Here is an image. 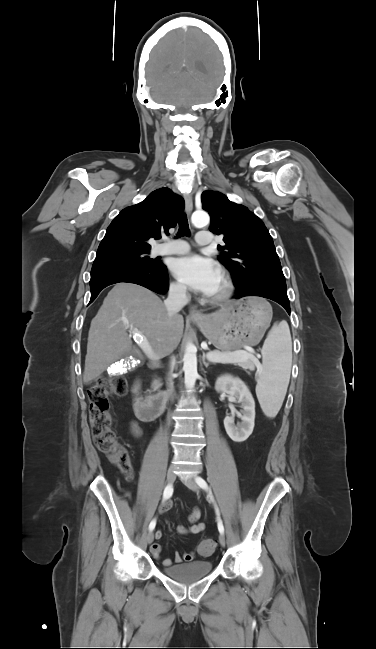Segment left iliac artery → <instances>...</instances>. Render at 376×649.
Returning a JSON list of instances; mask_svg holds the SVG:
<instances>
[{
    "mask_svg": "<svg viewBox=\"0 0 376 649\" xmlns=\"http://www.w3.org/2000/svg\"><path fill=\"white\" fill-rule=\"evenodd\" d=\"M196 483H197V484H198L202 489H204V490H206V491L209 490L208 484L206 483V481H205L203 478H201V477H197V478H196ZM210 497H211V499H213L212 496H210ZM215 510H216V514H217V525H218V530H219L220 533H224V526H223L222 520H221V518H220L219 510H218V507H217L216 504H215Z\"/></svg>",
    "mask_w": 376,
    "mask_h": 649,
    "instance_id": "44dca946",
    "label": "left iliac artery"
}]
</instances>
